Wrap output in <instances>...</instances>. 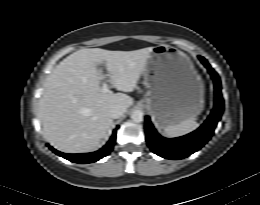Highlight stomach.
I'll use <instances>...</instances> for the list:
<instances>
[{
  "label": "stomach",
  "instance_id": "stomach-1",
  "mask_svg": "<svg viewBox=\"0 0 260 205\" xmlns=\"http://www.w3.org/2000/svg\"><path fill=\"white\" fill-rule=\"evenodd\" d=\"M143 102L162 129L196 117L204 107V84L187 54L176 47L153 48L142 73Z\"/></svg>",
  "mask_w": 260,
  "mask_h": 205
}]
</instances>
